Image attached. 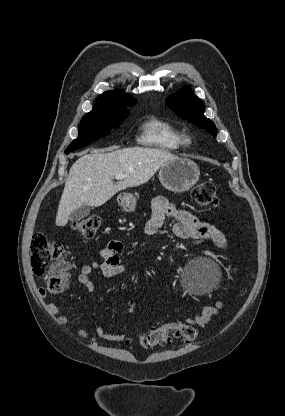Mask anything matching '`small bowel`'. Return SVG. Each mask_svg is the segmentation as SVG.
<instances>
[{"label":"small bowel","instance_id":"obj_1","mask_svg":"<svg viewBox=\"0 0 285 416\" xmlns=\"http://www.w3.org/2000/svg\"><path fill=\"white\" fill-rule=\"evenodd\" d=\"M166 217L175 220V224L172 227V233L180 239L208 240L221 249H225L228 246L227 239L221 230L207 222L200 221L194 214L188 211L177 209L164 197H156L153 200L152 215L145 225V233L149 235L155 234L162 227ZM122 249L123 245L119 240L112 239L108 241L99 253V261H93L82 265L77 276L78 283L81 284L87 292L93 293L95 291V284L92 281L91 276L94 271H100L108 278L123 273L124 266L120 259ZM68 288L69 284L67 283L62 293H65ZM46 294V290L41 288L40 295L45 297ZM221 305V302L217 301L214 305L205 307L197 315L186 318L185 323L187 325L203 328L210 323ZM48 311L57 318L60 325H69V317L61 313V308L58 304L54 302L49 303ZM77 333L80 337L91 342H96L99 339L121 342L127 339L125 334L109 333L102 326H97L94 330L79 328Z\"/></svg>","mask_w":285,"mask_h":416}]
</instances>
